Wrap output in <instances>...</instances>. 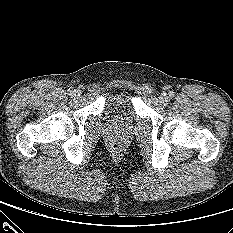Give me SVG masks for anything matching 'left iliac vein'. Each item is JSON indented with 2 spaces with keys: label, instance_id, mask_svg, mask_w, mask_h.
Instances as JSON below:
<instances>
[{
  "label": "left iliac vein",
  "instance_id": "4c4485c4",
  "mask_svg": "<svg viewBox=\"0 0 233 233\" xmlns=\"http://www.w3.org/2000/svg\"><path fill=\"white\" fill-rule=\"evenodd\" d=\"M159 99H160V102H161L162 104H164V105L168 104V102H169V96H168V94H166V93H162V94L160 95Z\"/></svg>",
  "mask_w": 233,
  "mask_h": 233
}]
</instances>
